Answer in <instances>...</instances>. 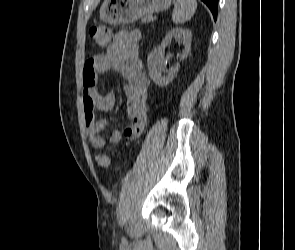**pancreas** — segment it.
Returning <instances> with one entry per match:
<instances>
[{
    "mask_svg": "<svg viewBox=\"0 0 295 250\" xmlns=\"http://www.w3.org/2000/svg\"><path fill=\"white\" fill-rule=\"evenodd\" d=\"M151 19H152V17L150 15H147L144 18H142V22L147 23V22L151 21Z\"/></svg>",
    "mask_w": 295,
    "mask_h": 250,
    "instance_id": "1",
    "label": "pancreas"
}]
</instances>
